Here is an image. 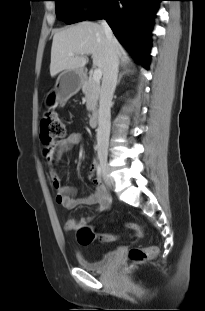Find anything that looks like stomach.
I'll use <instances>...</instances> for the list:
<instances>
[{
	"instance_id": "stomach-1",
	"label": "stomach",
	"mask_w": 205,
	"mask_h": 311,
	"mask_svg": "<svg viewBox=\"0 0 205 311\" xmlns=\"http://www.w3.org/2000/svg\"><path fill=\"white\" fill-rule=\"evenodd\" d=\"M82 81V70H64L61 72L57 78L55 87L47 96L48 105H63L70 97L78 93Z\"/></svg>"
}]
</instances>
